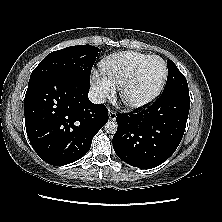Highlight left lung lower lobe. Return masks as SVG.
Masks as SVG:
<instances>
[{
  "label": "left lung lower lobe",
  "instance_id": "1",
  "mask_svg": "<svg viewBox=\"0 0 222 222\" xmlns=\"http://www.w3.org/2000/svg\"><path fill=\"white\" fill-rule=\"evenodd\" d=\"M190 108L189 91L163 92L148 109L120 114L113 148L120 159L142 169L166 161L178 147Z\"/></svg>",
  "mask_w": 222,
  "mask_h": 222
}]
</instances>
